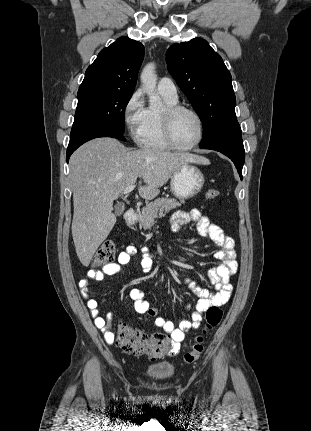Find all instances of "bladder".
I'll use <instances>...</instances> for the list:
<instances>
[{"mask_svg":"<svg viewBox=\"0 0 311 431\" xmlns=\"http://www.w3.org/2000/svg\"><path fill=\"white\" fill-rule=\"evenodd\" d=\"M147 377L153 380H169L175 375V367L170 363L152 364L146 368Z\"/></svg>","mask_w":311,"mask_h":431,"instance_id":"obj_1","label":"bladder"}]
</instances>
